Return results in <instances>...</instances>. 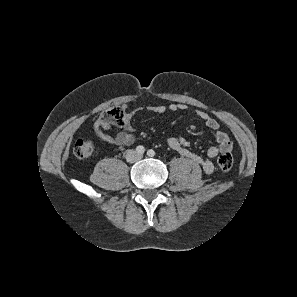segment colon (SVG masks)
<instances>
[{
	"instance_id": "1",
	"label": "colon",
	"mask_w": 297,
	"mask_h": 297,
	"mask_svg": "<svg viewBox=\"0 0 297 297\" xmlns=\"http://www.w3.org/2000/svg\"><path fill=\"white\" fill-rule=\"evenodd\" d=\"M126 114L120 107H111L102 112L99 117V123L105 127L110 125H123ZM74 155L79 159L89 158L93 153V144L90 140L79 139L73 147ZM218 166L221 171L227 172L233 166V157L231 153H222L217 160Z\"/></svg>"
}]
</instances>
